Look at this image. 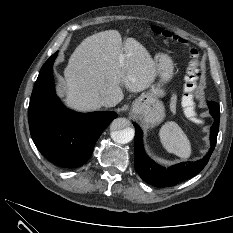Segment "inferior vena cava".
<instances>
[{
    "label": "inferior vena cava",
    "mask_w": 233,
    "mask_h": 233,
    "mask_svg": "<svg viewBox=\"0 0 233 233\" xmlns=\"http://www.w3.org/2000/svg\"><path fill=\"white\" fill-rule=\"evenodd\" d=\"M101 105L105 107H113L115 106V101L112 97L107 96L101 100Z\"/></svg>",
    "instance_id": "1"
}]
</instances>
